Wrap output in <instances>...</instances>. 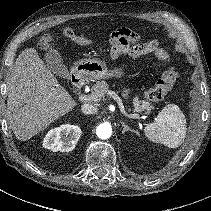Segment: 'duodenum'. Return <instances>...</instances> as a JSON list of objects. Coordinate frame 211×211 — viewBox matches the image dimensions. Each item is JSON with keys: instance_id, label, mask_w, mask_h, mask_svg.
I'll return each mask as SVG.
<instances>
[{"instance_id": "duodenum-1", "label": "duodenum", "mask_w": 211, "mask_h": 211, "mask_svg": "<svg viewBox=\"0 0 211 211\" xmlns=\"http://www.w3.org/2000/svg\"><path fill=\"white\" fill-rule=\"evenodd\" d=\"M71 78H72V84L74 88L78 89L84 85V80L80 73L73 72V74L71 75Z\"/></svg>"}]
</instances>
